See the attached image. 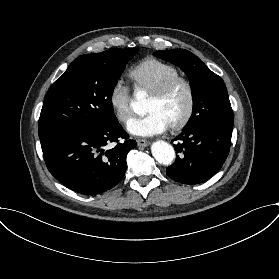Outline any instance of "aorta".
Masks as SVG:
<instances>
[{"mask_svg": "<svg viewBox=\"0 0 279 279\" xmlns=\"http://www.w3.org/2000/svg\"><path fill=\"white\" fill-rule=\"evenodd\" d=\"M131 105L135 113L142 114L145 112L144 100L141 95L137 96ZM151 152L155 160L163 165H171L175 159L174 148L165 141L154 142L151 146Z\"/></svg>", "mask_w": 279, "mask_h": 279, "instance_id": "762f6f07", "label": "aorta"}]
</instances>
